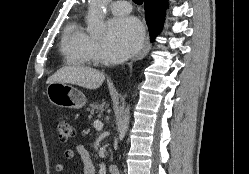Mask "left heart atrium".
Listing matches in <instances>:
<instances>
[{
	"instance_id": "obj_1",
	"label": "left heart atrium",
	"mask_w": 249,
	"mask_h": 174,
	"mask_svg": "<svg viewBox=\"0 0 249 174\" xmlns=\"http://www.w3.org/2000/svg\"><path fill=\"white\" fill-rule=\"evenodd\" d=\"M143 35V27L138 19L134 17L112 19L102 46L104 58L112 62L126 60L140 48Z\"/></svg>"
}]
</instances>
